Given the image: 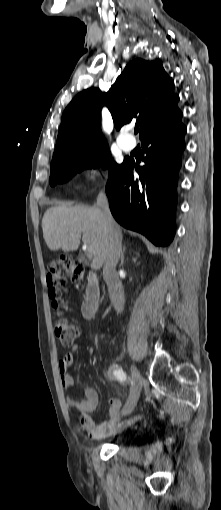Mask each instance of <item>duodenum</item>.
I'll return each instance as SVG.
<instances>
[{"label": "duodenum", "instance_id": "410a0bca", "mask_svg": "<svg viewBox=\"0 0 221 510\" xmlns=\"http://www.w3.org/2000/svg\"><path fill=\"white\" fill-rule=\"evenodd\" d=\"M100 289L97 276L94 272L88 273V283L85 289L84 300L81 305V311L85 319L91 320L95 317L99 308Z\"/></svg>", "mask_w": 221, "mask_h": 510}]
</instances>
